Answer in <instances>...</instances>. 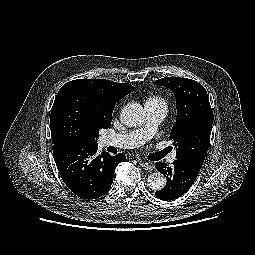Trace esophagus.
I'll return each instance as SVG.
<instances>
[{
  "label": "esophagus",
  "mask_w": 255,
  "mask_h": 255,
  "mask_svg": "<svg viewBox=\"0 0 255 255\" xmlns=\"http://www.w3.org/2000/svg\"><path fill=\"white\" fill-rule=\"evenodd\" d=\"M140 166H141L143 169H145V170H152V169H153V166H152L150 163H148V162H143V161H141V162H140Z\"/></svg>",
  "instance_id": "obj_1"
}]
</instances>
